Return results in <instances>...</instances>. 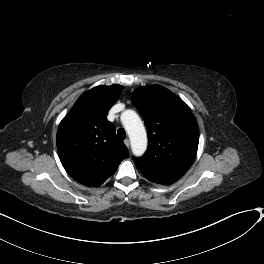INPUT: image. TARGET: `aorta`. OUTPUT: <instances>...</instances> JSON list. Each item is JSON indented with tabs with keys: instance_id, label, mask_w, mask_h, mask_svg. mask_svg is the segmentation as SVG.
<instances>
[{
	"instance_id": "obj_1",
	"label": "aorta",
	"mask_w": 264,
	"mask_h": 264,
	"mask_svg": "<svg viewBox=\"0 0 264 264\" xmlns=\"http://www.w3.org/2000/svg\"><path fill=\"white\" fill-rule=\"evenodd\" d=\"M121 122L129 135L133 154L143 155L147 149V133L138 114L133 110H125L121 114Z\"/></svg>"
}]
</instances>
